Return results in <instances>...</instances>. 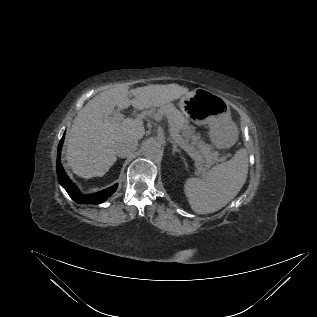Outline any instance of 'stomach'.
Masks as SVG:
<instances>
[{
    "label": "stomach",
    "instance_id": "0dacf381",
    "mask_svg": "<svg viewBox=\"0 0 317 317\" xmlns=\"http://www.w3.org/2000/svg\"><path fill=\"white\" fill-rule=\"evenodd\" d=\"M180 108L187 117L192 118L197 112L202 114V118L194 120L209 125L211 139L218 148H229L237 141L238 129L222 96L197 88L181 98Z\"/></svg>",
    "mask_w": 317,
    "mask_h": 317
}]
</instances>
